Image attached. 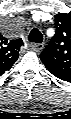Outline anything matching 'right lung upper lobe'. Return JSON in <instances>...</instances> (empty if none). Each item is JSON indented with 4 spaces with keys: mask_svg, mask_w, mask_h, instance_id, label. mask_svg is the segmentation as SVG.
Here are the masks:
<instances>
[{
    "mask_svg": "<svg viewBox=\"0 0 71 119\" xmlns=\"http://www.w3.org/2000/svg\"><path fill=\"white\" fill-rule=\"evenodd\" d=\"M23 41L21 39L8 40L0 38V74L9 70L19 57Z\"/></svg>",
    "mask_w": 71,
    "mask_h": 119,
    "instance_id": "1",
    "label": "right lung upper lobe"
}]
</instances>
